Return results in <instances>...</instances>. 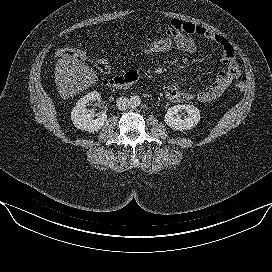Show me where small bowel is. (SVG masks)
Listing matches in <instances>:
<instances>
[{
	"instance_id": "1",
	"label": "small bowel",
	"mask_w": 272,
	"mask_h": 272,
	"mask_svg": "<svg viewBox=\"0 0 272 272\" xmlns=\"http://www.w3.org/2000/svg\"><path fill=\"white\" fill-rule=\"evenodd\" d=\"M167 37L174 39L183 53H193L196 49L194 36H199L209 42L215 43L222 52L221 62L224 68L217 74L216 79L207 87L196 92H190L180 89L174 84L165 87L166 97L173 102H186L197 100L201 103H207L218 99L233 80L241 75V68L235 56L233 46L222 35L215 33L204 26L192 22L174 19L164 26ZM130 74H136L131 71Z\"/></svg>"
}]
</instances>
